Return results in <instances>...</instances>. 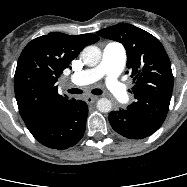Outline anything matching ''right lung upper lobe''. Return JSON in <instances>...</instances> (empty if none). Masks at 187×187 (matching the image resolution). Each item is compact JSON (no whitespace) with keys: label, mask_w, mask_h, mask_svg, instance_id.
Returning a JSON list of instances; mask_svg holds the SVG:
<instances>
[{"label":"right lung upper lobe","mask_w":187,"mask_h":187,"mask_svg":"<svg viewBox=\"0 0 187 187\" xmlns=\"http://www.w3.org/2000/svg\"><path fill=\"white\" fill-rule=\"evenodd\" d=\"M98 40L94 34L52 32L33 39L23 49L14 89L20 115L29 131L36 130L73 100L59 95L55 83L82 49Z\"/></svg>","instance_id":"1"}]
</instances>
